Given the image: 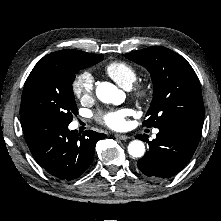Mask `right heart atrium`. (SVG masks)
Wrapping results in <instances>:
<instances>
[{
    "label": "right heart atrium",
    "mask_w": 221,
    "mask_h": 221,
    "mask_svg": "<svg viewBox=\"0 0 221 221\" xmlns=\"http://www.w3.org/2000/svg\"><path fill=\"white\" fill-rule=\"evenodd\" d=\"M94 79L93 76L87 72L77 74L72 82V92L81 102L89 101L93 96Z\"/></svg>",
    "instance_id": "obj_1"
}]
</instances>
